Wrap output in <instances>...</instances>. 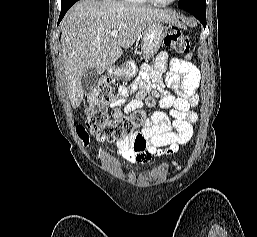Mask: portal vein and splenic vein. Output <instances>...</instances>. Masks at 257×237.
<instances>
[{
    "label": "portal vein and splenic vein",
    "instance_id": "portal-vein-and-splenic-vein-1",
    "mask_svg": "<svg viewBox=\"0 0 257 237\" xmlns=\"http://www.w3.org/2000/svg\"><path fill=\"white\" fill-rule=\"evenodd\" d=\"M118 35V31L117 30H112L111 32H110V36L111 37H116Z\"/></svg>",
    "mask_w": 257,
    "mask_h": 237
}]
</instances>
